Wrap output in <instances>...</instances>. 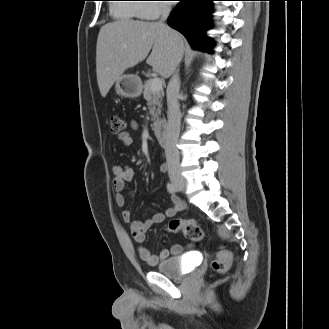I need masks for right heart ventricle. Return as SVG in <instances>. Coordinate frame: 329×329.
I'll return each mask as SVG.
<instances>
[{
	"mask_svg": "<svg viewBox=\"0 0 329 329\" xmlns=\"http://www.w3.org/2000/svg\"><path fill=\"white\" fill-rule=\"evenodd\" d=\"M116 1L125 3H117L112 5L111 11L114 16L128 20L143 19V4L134 3L136 0Z\"/></svg>",
	"mask_w": 329,
	"mask_h": 329,
	"instance_id": "e07e8e85",
	"label": "right heart ventricle"
}]
</instances>
